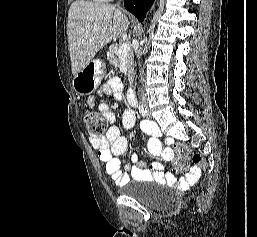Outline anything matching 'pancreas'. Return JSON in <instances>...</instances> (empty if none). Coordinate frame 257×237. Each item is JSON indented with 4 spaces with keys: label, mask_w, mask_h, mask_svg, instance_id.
Listing matches in <instances>:
<instances>
[{
    "label": "pancreas",
    "mask_w": 257,
    "mask_h": 237,
    "mask_svg": "<svg viewBox=\"0 0 257 237\" xmlns=\"http://www.w3.org/2000/svg\"><path fill=\"white\" fill-rule=\"evenodd\" d=\"M120 44H112L109 47V50L107 52V58L110 61L119 63L121 59H124L126 61V67H127V76L129 83L132 82V76L134 74V57H133V52L129 50L126 54L120 55L119 49H120Z\"/></svg>",
    "instance_id": "1"
}]
</instances>
